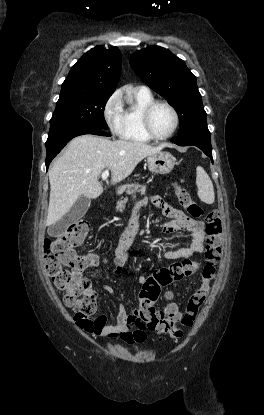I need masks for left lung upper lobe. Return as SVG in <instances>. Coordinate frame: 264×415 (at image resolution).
Instances as JSON below:
<instances>
[{
	"instance_id": "left-lung-upper-lobe-1",
	"label": "left lung upper lobe",
	"mask_w": 264,
	"mask_h": 415,
	"mask_svg": "<svg viewBox=\"0 0 264 415\" xmlns=\"http://www.w3.org/2000/svg\"><path fill=\"white\" fill-rule=\"evenodd\" d=\"M130 65L151 89L175 108L180 120L178 136L207 127L196 77L183 60L165 48L151 46L133 53Z\"/></svg>"
}]
</instances>
